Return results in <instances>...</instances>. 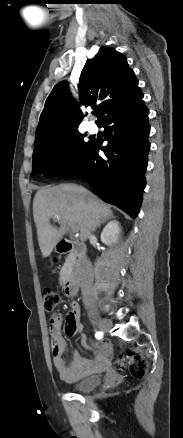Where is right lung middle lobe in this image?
Wrapping results in <instances>:
<instances>
[{
    "label": "right lung middle lobe",
    "mask_w": 183,
    "mask_h": 438,
    "mask_svg": "<svg viewBox=\"0 0 183 438\" xmlns=\"http://www.w3.org/2000/svg\"><path fill=\"white\" fill-rule=\"evenodd\" d=\"M78 129L48 135L35 140L32 168L35 174L56 176L78 157L91 141L85 142Z\"/></svg>",
    "instance_id": "1"
}]
</instances>
